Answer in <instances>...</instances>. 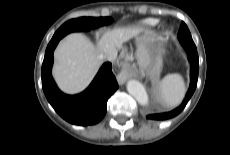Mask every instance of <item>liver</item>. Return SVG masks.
<instances>
[{"instance_id":"liver-1","label":"liver","mask_w":230,"mask_h":155,"mask_svg":"<svg viewBox=\"0 0 230 155\" xmlns=\"http://www.w3.org/2000/svg\"><path fill=\"white\" fill-rule=\"evenodd\" d=\"M138 27H119L107 31L94 45L81 33L67 35L54 52L52 74L59 88L76 94L83 91L97 74L105 55L139 36Z\"/></svg>"}]
</instances>
